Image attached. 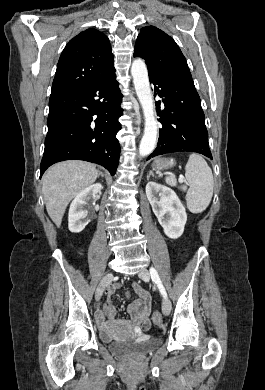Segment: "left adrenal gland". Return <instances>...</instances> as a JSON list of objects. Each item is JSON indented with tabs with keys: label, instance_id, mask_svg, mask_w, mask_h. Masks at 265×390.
Listing matches in <instances>:
<instances>
[{
	"label": "left adrenal gland",
	"instance_id": "obj_1",
	"mask_svg": "<svg viewBox=\"0 0 265 390\" xmlns=\"http://www.w3.org/2000/svg\"><path fill=\"white\" fill-rule=\"evenodd\" d=\"M150 176H153V177H154L153 171H149V174L147 175V180H149Z\"/></svg>",
	"mask_w": 265,
	"mask_h": 390
}]
</instances>
